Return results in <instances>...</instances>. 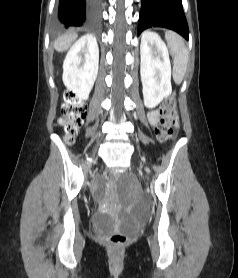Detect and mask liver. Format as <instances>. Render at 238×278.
<instances>
[{
	"label": "liver",
	"mask_w": 238,
	"mask_h": 278,
	"mask_svg": "<svg viewBox=\"0 0 238 278\" xmlns=\"http://www.w3.org/2000/svg\"><path fill=\"white\" fill-rule=\"evenodd\" d=\"M77 33H68L60 36L54 43V48L58 52L66 51L71 44L77 39Z\"/></svg>",
	"instance_id": "liver-1"
}]
</instances>
